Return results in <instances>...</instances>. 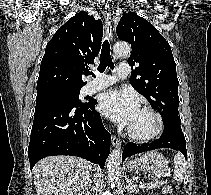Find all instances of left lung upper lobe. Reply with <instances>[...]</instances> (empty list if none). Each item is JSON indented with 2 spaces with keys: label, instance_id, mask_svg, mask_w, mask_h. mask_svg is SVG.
Segmentation results:
<instances>
[{
  "label": "left lung upper lobe",
  "instance_id": "obj_1",
  "mask_svg": "<svg viewBox=\"0 0 211 195\" xmlns=\"http://www.w3.org/2000/svg\"><path fill=\"white\" fill-rule=\"evenodd\" d=\"M118 38L131 44L132 86L156 109L164 124L181 123L178 79L171 47L159 31L135 12L123 15Z\"/></svg>",
  "mask_w": 211,
  "mask_h": 195
}]
</instances>
